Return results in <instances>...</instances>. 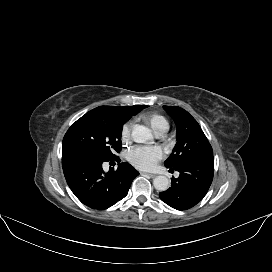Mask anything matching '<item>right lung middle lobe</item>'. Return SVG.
<instances>
[{
  "mask_svg": "<svg viewBox=\"0 0 272 272\" xmlns=\"http://www.w3.org/2000/svg\"><path fill=\"white\" fill-rule=\"evenodd\" d=\"M129 116L115 107L100 106L79 118L66 132L62 156L86 155L113 160L122 148L121 134Z\"/></svg>",
  "mask_w": 272,
  "mask_h": 272,
  "instance_id": "dd1d6c3e",
  "label": "right lung middle lobe"
}]
</instances>
